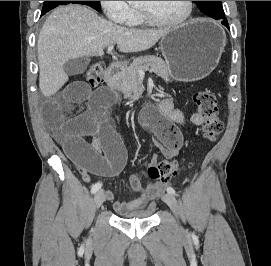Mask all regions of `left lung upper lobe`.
I'll use <instances>...</instances> for the list:
<instances>
[{
	"mask_svg": "<svg viewBox=\"0 0 271 266\" xmlns=\"http://www.w3.org/2000/svg\"><path fill=\"white\" fill-rule=\"evenodd\" d=\"M201 12L216 20L225 18L221 1H194Z\"/></svg>",
	"mask_w": 271,
	"mask_h": 266,
	"instance_id": "left-lung-upper-lobe-1",
	"label": "left lung upper lobe"
}]
</instances>
